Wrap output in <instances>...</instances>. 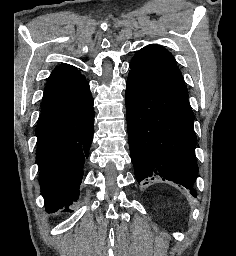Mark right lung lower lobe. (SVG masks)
Instances as JSON below:
<instances>
[{"label": "right lung lower lobe", "mask_w": 236, "mask_h": 256, "mask_svg": "<svg viewBox=\"0 0 236 256\" xmlns=\"http://www.w3.org/2000/svg\"><path fill=\"white\" fill-rule=\"evenodd\" d=\"M93 123V98L87 81L42 109L35 130L36 161L47 212H56L77 200Z\"/></svg>", "instance_id": "98d812e1"}]
</instances>
